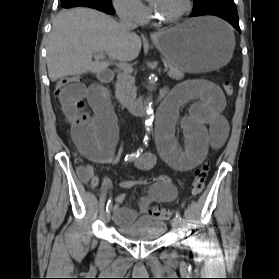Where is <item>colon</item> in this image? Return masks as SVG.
I'll return each mask as SVG.
<instances>
[{
	"label": "colon",
	"instance_id": "obj_1",
	"mask_svg": "<svg viewBox=\"0 0 279 279\" xmlns=\"http://www.w3.org/2000/svg\"><path fill=\"white\" fill-rule=\"evenodd\" d=\"M77 82V78L75 77H63L57 81L55 88V95L58 97L62 91V89L71 84ZM223 90L226 95H233V86L230 83L223 84ZM209 172V163L204 162L200 166H198L194 171V177L191 184V193L194 197H199L205 188V183L207 179V175ZM150 214L158 219H169L172 216L170 210L161 207H152L150 209Z\"/></svg>",
	"mask_w": 279,
	"mask_h": 279
}]
</instances>
